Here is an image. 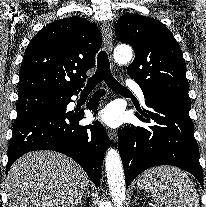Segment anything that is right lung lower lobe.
Listing matches in <instances>:
<instances>
[{"mask_svg": "<svg viewBox=\"0 0 206 207\" xmlns=\"http://www.w3.org/2000/svg\"><path fill=\"white\" fill-rule=\"evenodd\" d=\"M79 91L65 95V110L46 112L23 119L13 124V135L8 147L10 166L23 154L35 150H52L63 153L75 160L86 171L92 182L99 186L101 165L109 140L104 127L96 122L90 126L79 125L84 112L66 111L71 97ZM104 91L99 90L90 100L89 109H95L98 98Z\"/></svg>", "mask_w": 206, "mask_h": 207, "instance_id": "98d812e1", "label": "right lung lower lobe"}]
</instances>
